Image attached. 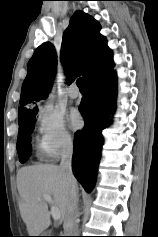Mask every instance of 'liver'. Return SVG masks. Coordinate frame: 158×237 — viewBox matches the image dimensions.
Listing matches in <instances>:
<instances>
[{
    "label": "liver",
    "mask_w": 158,
    "mask_h": 237,
    "mask_svg": "<svg viewBox=\"0 0 158 237\" xmlns=\"http://www.w3.org/2000/svg\"><path fill=\"white\" fill-rule=\"evenodd\" d=\"M75 187L77 188L76 180ZM20 195L19 210L30 236H39L50 225V214L44 195H50L53 205L64 220L70 193V182L64 170L53 164L25 166L17 173Z\"/></svg>",
    "instance_id": "1"
}]
</instances>
